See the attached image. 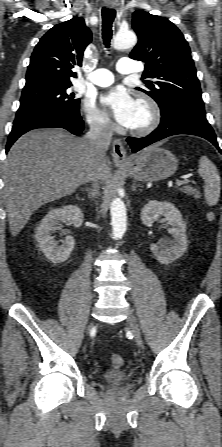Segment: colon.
I'll use <instances>...</instances> for the list:
<instances>
[{"label": "colon", "mask_w": 222, "mask_h": 447, "mask_svg": "<svg viewBox=\"0 0 222 447\" xmlns=\"http://www.w3.org/2000/svg\"><path fill=\"white\" fill-rule=\"evenodd\" d=\"M110 363L112 367H120L122 365V358L118 354H114L110 358Z\"/></svg>", "instance_id": "1"}]
</instances>
